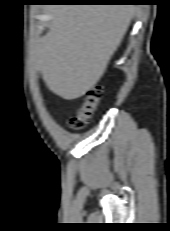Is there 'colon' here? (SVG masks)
<instances>
[{"label": "colon", "mask_w": 170, "mask_h": 231, "mask_svg": "<svg viewBox=\"0 0 170 231\" xmlns=\"http://www.w3.org/2000/svg\"><path fill=\"white\" fill-rule=\"evenodd\" d=\"M103 97V89L100 86L91 88L81 102L75 116L70 119V127L75 130L81 129L87 124L98 110Z\"/></svg>", "instance_id": "colon-1"}]
</instances>
